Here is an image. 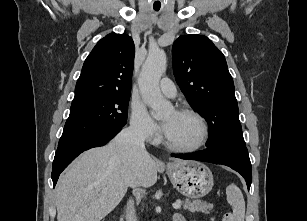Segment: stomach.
<instances>
[{
  "label": "stomach",
  "mask_w": 307,
  "mask_h": 221,
  "mask_svg": "<svg viewBox=\"0 0 307 221\" xmlns=\"http://www.w3.org/2000/svg\"><path fill=\"white\" fill-rule=\"evenodd\" d=\"M167 174L174 187L190 198L207 195L214 185L211 170L201 162L174 161L168 164Z\"/></svg>",
  "instance_id": "stomach-1"
}]
</instances>
